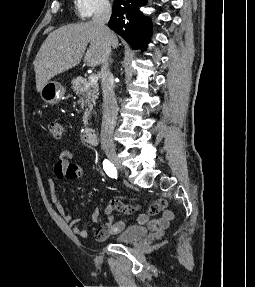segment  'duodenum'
<instances>
[{"label":"duodenum","mask_w":255,"mask_h":287,"mask_svg":"<svg viewBox=\"0 0 255 287\" xmlns=\"http://www.w3.org/2000/svg\"><path fill=\"white\" fill-rule=\"evenodd\" d=\"M84 142L88 145L96 143L95 129L93 127H86L83 131Z\"/></svg>","instance_id":"obj_1"}]
</instances>
